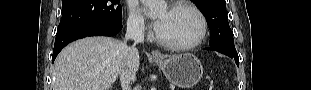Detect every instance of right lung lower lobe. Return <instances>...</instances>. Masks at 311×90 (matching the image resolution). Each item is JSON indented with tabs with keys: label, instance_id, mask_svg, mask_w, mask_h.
Masks as SVG:
<instances>
[{
	"label": "right lung lower lobe",
	"instance_id": "right-lung-lower-lobe-1",
	"mask_svg": "<svg viewBox=\"0 0 311 90\" xmlns=\"http://www.w3.org/2000/svg\"><path fill=\"white\" fill-rule=\"evenodd\" d=\"M122 29V24H85L57 33L52 62L68 43L87 36H114Z\"/></svg>",
	"mask_w": 311,
	"mask_h": 90
}]
</instances>
